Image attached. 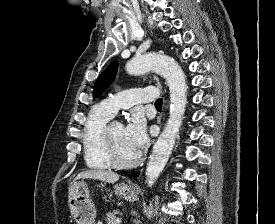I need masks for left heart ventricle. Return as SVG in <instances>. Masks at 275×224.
I'll return each instance as SVG.
<instances>
[{"instance_id":"1","label":"left heart ventricle","mask_w":275,"mask_h":224,"mask_svg":"<svg viewBox=\"0 0 275 224\" xmlns=\"http://www.w3.org/2000/svg\"><path fill=\"white\" fill-rule=\"evenodd\" d=\"M124 128L121 123H113L110 133L117 156L127 161L133 159L138 152L135 151L126 140Z\"/></svg>"}]
</instances>
